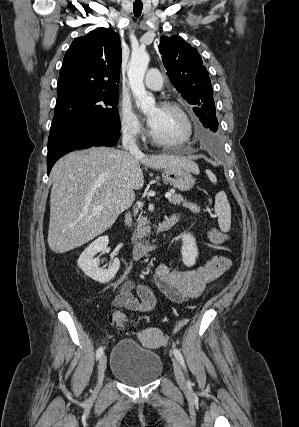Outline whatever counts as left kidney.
<instances>
[{
	"label": "left kidney",
	"instance_id": "obj_1",
	"mask_svg": "<svg viewBox=\"0 0 299 427\" xmlns=\"http://www.w3.org/2000/svg\"><path fill=\"white\" fill-rule=\"evenodd\" d=\"M182 239V261L187 267H191L196 263L198 257V248L196 246L195 238L190 233H184L181 235Z\"/></svg>",
	"mask_w": 299,
	"mask_h": 427
}]
</instances>
